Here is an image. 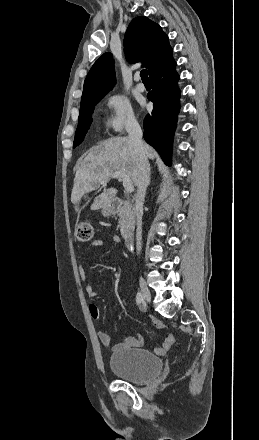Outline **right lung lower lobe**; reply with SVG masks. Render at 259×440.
Segmentation results:
<instances>
[{
  "mask_svg": "<svg viewBox=\"0 0 259 440\" xmlns=\"http://www.w3.org/2000/svg\"><path fill=\"white\" fill-rule=\"evenodd\" d=\"M175 66L171 56L149 75L153 88L147 97L153 102V111L146 115L143 123L145 141L167 165L171 164L173 135L180 109L179 75Z\"/></svg>",
  "mask_w": 259,
  "mask_h": 440,
  "instance_id": "right-lung-lower-lobe-1",
  "label": "right lung lower lobe"
}]
</instances>
